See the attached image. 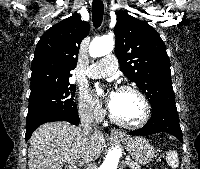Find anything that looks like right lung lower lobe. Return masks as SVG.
<instances>
[{"label":"right lung lower lobe","mask_w":200,"mask_h":169,"mask_svg":"<svg viewBox=\"0 0 200 169\" xmlns=\"http://www.w3.org/2000/svg\"><path fill=\"white\" fill-rule=\"evenodd\" d=\"M53 121H68L72 124L79 123L77 107L72 110L40 109L29 112L26 120V141L31 137L33 131L40 125Z\"/></svg>","instance_id":"obj_1"}]
</instances>
